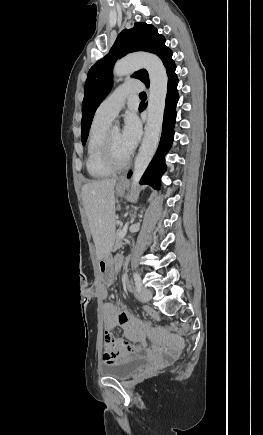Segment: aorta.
<instances>
[{
	"instance_id": "1",
	"label": "aorta",
	"mask_w": 263,
	"mask_h": 435,
	"mask_svg": "<svg viewBox=\"0 0 263 435\" xmlns=\"http://www.w3.org/2000/svg\"><path fill=\"white\" fill-rule=\"evenodd\" d=\"M145 68L150 78L148 117L143 142L135 159L132 175V199L136 198L139 180L148 167L157 149L163 124L168 78L162 61L149 53L129 55L118 61L113 69L115 77L127 76L137 69ZM117 129V127H115Z\"/></svg>"
}]
</instances>
